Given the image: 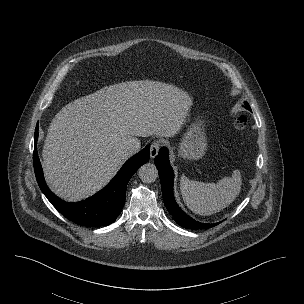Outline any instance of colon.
<instances>
[{
    "instance_id": "colon-1",
    "label": "colon",
    "mask_w": 304,
    "mask_h": 304,
    "mask_svg": "<svg viewBox=\"0 0 304 304\" xmlns=\"http://www.w3.org/2000/svg\"><path fill=\"white\" fill-rule=\"evenodd\" d=\"M233 129L237 135H242L247 125L246 118L244 116H235L233 119Z\"/></svg>"
}]
</instances>
